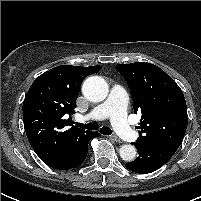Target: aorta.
I'll return each mask as SVG.
<instances>
[{
	"label": "aorta",
	"mask_w": 201,
	"mask_h": 201,
	"mask_svg": "<svg viewBox=\"0 0 201 201\" xmlns=\"http://www.w3.org/2000/svg\"><path fill=\"white\" fill-rule=\"evenodd\" d=\"M108 91L107 82L100 76H91L87 78L82 85L83 95L91 102H101L105 100ZM119 153L124 161L130 162L135 159L137 151L133 145L125 144L121 146Z\"/></svg>",
	"instance_id": "aorta-1"
}]
</instances>
